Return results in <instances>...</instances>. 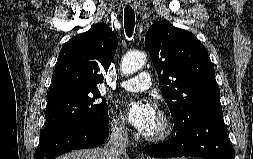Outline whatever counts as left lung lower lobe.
Here are the masks:
<instances>
[{"label":"left lung lower lobe","mask_w":253,"mask_h":159,"mask_svg":"<svg viewBox=\"0 0 253 159\" xmlns=\"http://www.w3.org/2000/svg\"><path fill=\"white\" fill-rule=\"evenodd\" d=\"M176 136L163 144L146 146V152L158 158L196 156L205 159H235L227 135L222 111L190 113L175 127Z\"/></svg>","instance_id":"0a47b994"}]
</instances>
